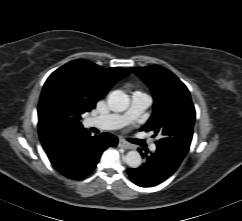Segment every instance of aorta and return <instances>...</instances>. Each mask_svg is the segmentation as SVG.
Returning a JSON list of instances; mask_svg holds the SVG:
<instances>
[{
  "instance_id": "obj_1",
  "label": "aorta",
  "mask_w": 242,
  "mask_h": 221,
  "mask_svg": "<svg viewBox=\"0 0 242 221\" xmlns=\"http://www.w3.org/2000/svg\"><path fill=\"white\" fill-rule=\"evenodd\" d=\"M107 103L113 112H123L129 105V98L123 91L115 90L108 95ZM125 162L131 168H138L142 163L140 153L135 150L127 152Z\"/></svg>"
}]
</instances>
